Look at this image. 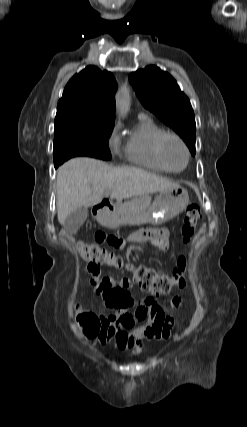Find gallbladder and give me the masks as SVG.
Returning <instances> with one entry per match:
<instances>
[{
	"label": "gallbladder",
	"instance_id": "gallbladder-1",
	"mask_svg": "<svg viewBox=\"0 0 247 427\" xmlns=\"http://www.w3.org/2000/svg\"><path fill=\"white\" fill-rule=\"evenodd\" d=\"M88 216L86 207H79L73 210L65 219L63 226L67 232L74 234L82 226Z\"/></svg>",
	"mask_w": 247,
	"mask_h": 427
}]
</instances>
